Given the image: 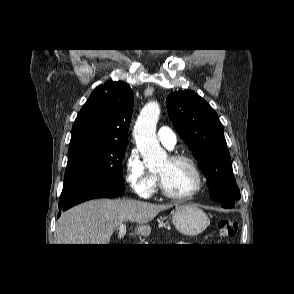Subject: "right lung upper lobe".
<instances>
[{
  "instance_id": "right-lung-upper-lobe-1",
  "label": "right lung upper lobe",
  "mask_w": 294,
  "mask_h": 294,
  "mask_svg": "<svg viewBox=\"0 0 294 294\" xmlns=\"http://www.w3.org/2000/svg\"><path fill=\"white\" fill-rule=\"evenodd\" d=\"M133 92L122 81L96 88L77 115L70 145L92 142L127 145Z\"/></svg>"
}]
</instances>
